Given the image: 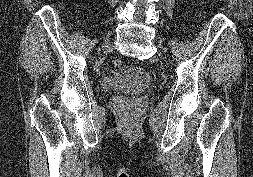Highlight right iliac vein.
I'll return each instance as SVG.
<instances>
[{"mask_svg":"<svg viewBox=\"0 0 253 177\" xmlns=\"http://www.w3.org/2000/svg\"><path fill=\"white\" fill-rule=\"evenodd\" d=\"M106 48L110 49V48H112V45H108V46H106Z\"/></svg>","mask_w":253,"mask_h":177,"instance_id":"obj_1","label":"right iliac vein"}]
</instances>
